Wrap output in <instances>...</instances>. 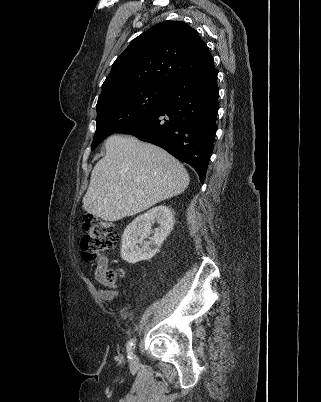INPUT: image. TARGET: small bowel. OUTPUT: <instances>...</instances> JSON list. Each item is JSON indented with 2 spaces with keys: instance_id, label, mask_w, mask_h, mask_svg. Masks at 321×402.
<instances>
[{
  "instance_id": "small-bowel-1",
  "label": "small bowel",
  "mask_w": 321,
  "mask_h": 402,
  "mask_svg": "<svg viewBox=\"0 0 321 402\" xmlns=\"http://www.w3.org/2000/svg\"><path fill=\"white\" fill-rule=\"evenodd\" d=\"M106 262L104 260H100L96 268L94 269V277L95 279L102 284L103 286H107V281L104 277ZM99 294L104 299H109L115 296V292L111 289L102 288L99 290Z\"/></svg>"
}]
</instances>
